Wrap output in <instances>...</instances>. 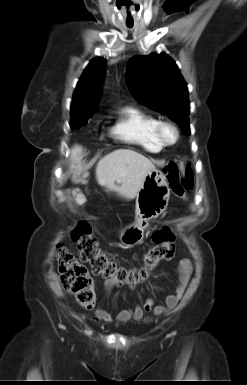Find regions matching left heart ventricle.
Here are the masks:
<instances>
[{"label":"left heart ventricle","instance_id":"1","mask_svg":"<svg viewBox=\"0 0 247 385\" xmlns=\"http://www.w3.org/2000/svg\"><path fill=\"white\" fill-rule=\"evenodd\" d=\"M167 139L171 140L173 138V133L171 131L166 132Z\"/></svg>","mask_w":247,"mask_h":385}]
</instances>
